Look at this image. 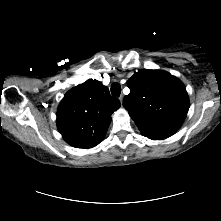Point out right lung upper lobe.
Masks as SVG:
<instances>
[{
	"label": "right lung upper lobe",
	"mask_w": 221,
	"mask_h": 221,
	"mask_svg": "<svg viewBox=\"0 0 221 221\" xmlns=\"http://www.w3.org/2000/svg\"><path fill=\"white\" fill-rule=\"evenodd\" d=\"M119 107L108 87L89 79L65 94L57 111L58 130L70 145L92 148L104 138L111 114Z\"/></svg>",
	"instance_id": "obj_1"
}]
</instances>
